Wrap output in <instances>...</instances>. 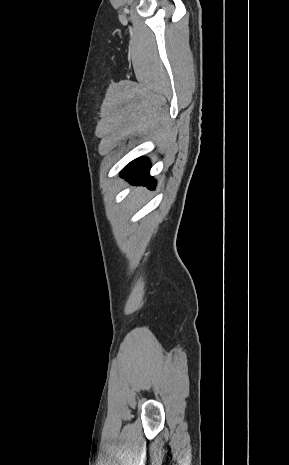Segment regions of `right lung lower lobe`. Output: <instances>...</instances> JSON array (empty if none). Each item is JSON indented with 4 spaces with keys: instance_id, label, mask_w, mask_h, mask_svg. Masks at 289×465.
I'll return each instance as SVG.
<instances>
[{
    "instance_id": "1",
    "label": "right lung lower lobe",
    "mask_w": 289,
    "mask_h": 465,
    "mask_svg": "<svg viewBox=\"0 0 289 465\" xmlns=\"http://www.w3.org/2000/svg\"><path fill=\"white\" fill-rule=\"evenodd\" d=\"M150 166L147 158H137L121 171V177L131 184L144 185L149 189H154L155 181L149 175Z\"/></svg>"
}]
</instances>
